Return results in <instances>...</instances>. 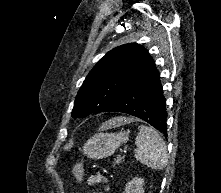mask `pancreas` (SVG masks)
<instances>
[{
	"label": "pancreas",
	"mask_w": 221,
	"mask_h": 193,
	"mask_svg": "<svg viewBox=\"0 0 221 193\" xmlns=\"http://www.w3.org/2000/svg\"><path fill=\"white\" fill-rule=\"evenodd\" d=\"M121 162H122V159H121V158H117L115 164H119V163H121Z\"/></svg>",
	"instance_id": "cf45deb5"
}]
</instances>
